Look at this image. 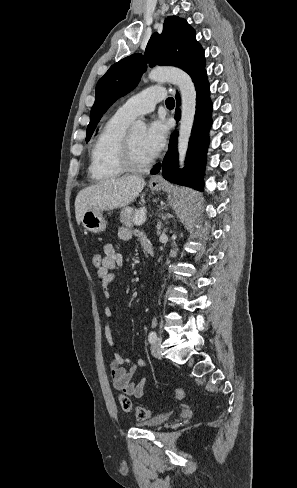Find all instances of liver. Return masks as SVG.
<instances>
[{
	"label": "liver",
	"mask_w": 297,
	"mask_h": 488,
	"mask_svg": "<svg viewBox=\"0 0 297 488\" xmlns=\"http://www.w3.org/2000/svg\"><path fill=\"white\" fill-rule=\"evenodd\" d=\"M145 186L141 176H123L102 181L81 190L75 199V215L79 223L87 210L104 211L132 203Z\"/></svg>",
	"instance_id": "1"
}]
</instances>
